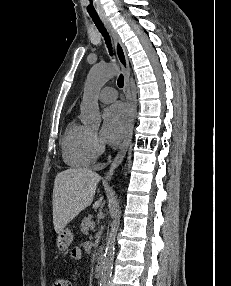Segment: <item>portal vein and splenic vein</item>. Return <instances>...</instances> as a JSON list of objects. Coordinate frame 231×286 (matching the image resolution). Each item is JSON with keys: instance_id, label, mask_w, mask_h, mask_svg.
Segmentation results:
<instances>
[{"instance_id": "1", "label": "portal vein and splenic vein", "mask_w": 231, "mask_h": 286, "mask_svg": "<svg viewBox=\"0 0 231 286\" xmlns=\"http://www.w3.org/2000/svg\"><path fill=\"white\" fill-rule=\"evenodd\" d=\"M90 228H91V229H94V228H95V222H94V221L91 222Z\"/></svg>"}]
</instances>
